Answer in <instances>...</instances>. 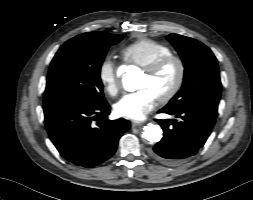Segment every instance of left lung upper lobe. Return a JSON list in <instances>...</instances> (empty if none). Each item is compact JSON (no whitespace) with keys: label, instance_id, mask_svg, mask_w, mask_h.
<instances>
[{"label":"left lung upper lobe","instance_id":"left-lung-upper-lobe-1","mask_svg":"<svg viewBox=\"0 0 253 200\" xmlns=\"http://www.w3.org/2000/svg\"><path fill=\"white\" fill-rule=\"evenodd\" d=\"M167 39L179 53L185 74L182 88L165 107L174 110L201 103L218 105L221 81L217 59L211 50L186 36L169 34Z\"/></svg>","mask_w":253,"mask_h":200}]
</instances>
